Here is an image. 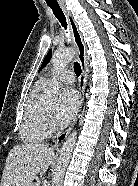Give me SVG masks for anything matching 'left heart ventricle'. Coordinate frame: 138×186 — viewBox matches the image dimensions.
<instances>
[{
  "mask_svg": "<svg viewBox=\"0 0 138 186\" xmlns=\"http://www.w3.org/2000/svg\"><path fill=\"white\" fill-rule=\"evenodd\" d=\"M55 110H56L55 108H50L49 109L50 114H54L55 113Z\"/></svg>",
  "mask_w": 138,
  "mask_h": 186,
  "instance_id": "1",
  "label": "left heart ventricle"
}]
</instances>
